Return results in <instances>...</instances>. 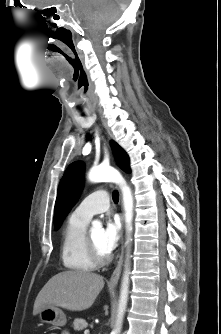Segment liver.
Listing matches in <instances>:
<instances>
[{"label": "liver", "mask_w": 221, "mask_h": 334, "mask_svg": "<svg viewBox=\"0 0 221 334\" xmlns=\"http://www.w3.org/2000/svg\"><path fill=\"white\" fill-rule=\"evenodd\" d=\"M103 287V277L95 273L83 271L58 273L37 295L33 314L37 315L48 307H62L70 311L88 309Z\"/></svg>", "instance_id": "liver-1"}]
</instances>
